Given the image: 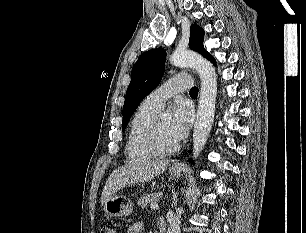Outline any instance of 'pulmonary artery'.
I'll return each mask as SVG.
<instances>
[{
    "label": "pulmonary artery",
    "mask_w": 306,
    "mask_h": 233,
    "mask_svg": "<svg viewBox=\"0 0 306 233\" xmlns=\"http://www.w3.org/2000/svg\"><path fill=\"white\" fill-rule=\"evenodd\" d=\"M192 79L188 75H175L168 79L163 85L151 92L146 98L145 102L157 109L160 110L164 105L165 101L179 93L186 91L191 88Z\"/></svg>",
    "instance_id": "pulmonary-artery-1"
}]
</instances>
